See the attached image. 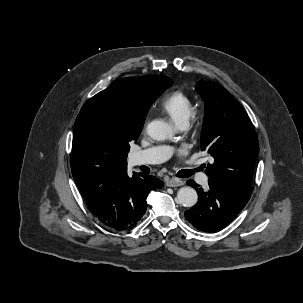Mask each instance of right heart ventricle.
I'll use <instances>...</instances> for the list:
<instances>
[{
    "mask_svg": "<svg viewBox=\"0 0 303 303\" xmlns=\"http://www.w3.org/2000/svg\"><path fill=\"white\" fill-rule=\"evenodd\" d=\"M160 109L174 124L180 126L188 122L194 107L193 101L188 94L175 90L163 98Z\"/></svg>",
    "mask_w": 303,
    "mask_h": 303,
    "instance_id": "1",
    "label": "right heart ventricle"
}]
</instances>
